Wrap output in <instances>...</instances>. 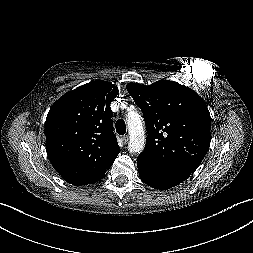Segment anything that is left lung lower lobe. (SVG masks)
<instances>
[{
	"mask_svg": "<svg viewBox=\"0 0 253 253\" xmlns=\"http://www.w3.org/2000/svg\"><path fill=\"white\" fill-rule=\"evenodd\" d=\"M137 167L141 180L156 189L172 188L182 183L193 173L188 169L160 167L142 154L137 158Z\"/></svg>",
	"mask_w": 253,
	"mask_h": 253,
	"instance_id": "obj_1",
	"label": "left lung lower lobe"
}]
</instances>
